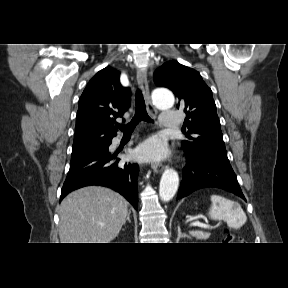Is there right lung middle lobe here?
Instances as JSON below:
<instances>
[{"instance_id":"dd1d6c3e","label":"right lung middle lobe","mask_w":288,"mask_h":288,"mask_svg":"<svg viewBox=\"0 0 288 288\" xmlns=\"http://www.w3.org/2000/svg\"><path fill=\"white\" fill-rule=\"evenodd\" d=\"M103 147V146H102ZM102 147H96V148H84V149H78V150H72V157L71 160L79 159L95 150L101 149Z\"/></svg>"}]
</instances>
